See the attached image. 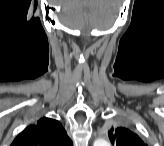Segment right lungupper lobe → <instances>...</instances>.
I'll return each mask as SVG.
<instances>
[{"label":"right lung upper lobe","instance_id":"cb5924a9","mask_svg":"<svg viewBox=\"0 0 164 146\" xmlns=\"http://www.w3.org/2000/svg\"><path fill=\"white\" fill-rule=\"evenodd\" d=\"M11 146H72V142L58 121L44 117L25 128Z\"/></svg>","mask_w":164,"mask_h":146}]
</instances>
